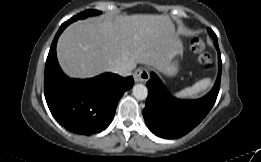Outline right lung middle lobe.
Wrapping results in <instances>:
<instances>
[{"mask_svg": "<svg viewBox=\"0 0 261 162\" xmlns=\"http://www.w3.org/2000/svg\"><path fill=\"white\" fill-rule=\"evenodd\" d=\"M98 14H101L100 11H96V10H86L76 16H74L72 19V21H76L78 19H83V18H86L88 16H93V15H98Z\"/></svg>", "mask_w": 261, "mask_h": 162, "instance_id": "obj_1", "label": "right lung middle lobe"}]
</instances>
